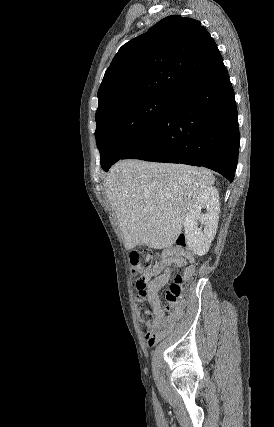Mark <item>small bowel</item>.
<instances>
[{"label":"small bowel","mask_w":274,"mask_h":427,"mask_svg":"<svg viewBox=\"0 0 274 427\" xmlns=\"http://www.w3.org/2000/svg\"><path fill=\"white\" fill-rule=\"evenodd\" d=\"M171 265L185 267L184 278H191L195 274V255L179 247L167 248L162 251L156 264L145 267L141 272L140 279L145 283L147 297L153 305V320L147 335L149 346L155 345L171 333L184 313L182 302L172 304L166 312L159 298L160 288L171 278Z\"/></svg>","instance_id":"c3829d8e"}]
</instances>
